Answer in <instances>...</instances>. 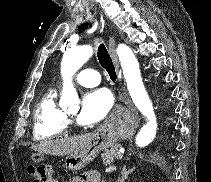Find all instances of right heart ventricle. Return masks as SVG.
<instances>
[{
    "label": "right heart ventricle",
    "mask_w": 211,
    "mask_h": 182,
    "mask_svg": "<svg viewBox=\"0 0 211 182\" xmlns=\"http://www.w3.org/2000/svg\"><path fill=\"white\" fill-rule=\"evenodd\" d=\"M67 131V119L57 103V93L50 89L37 103L33 116V138L36 141L52 140Z\"/></svg>",
    "instance_id": "1"
}]
</instances>
